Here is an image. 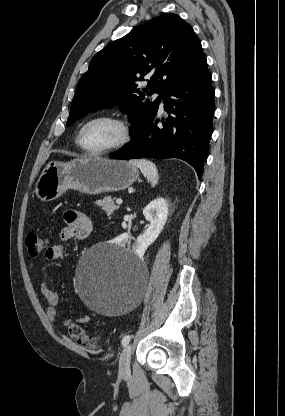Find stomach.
<instances>
[{"mask_svg": "<svg viewBox=\"0 0 285 416\" xmlns=\"http://www.w3.org/2000/svg\"><path fill=\"white\" fill-rule=\"evenodd\" d=\"M139 178V170L125 160L77 158L71 162H49L35 186L42 202L57 200L67 190L82 194H105L129 188Z\"/></svg>", "mask_w": 285, "mask_h": 416, "instance_id": "obj_1", "label": "stomach"}]
</instances>
